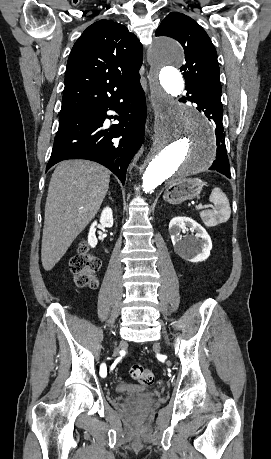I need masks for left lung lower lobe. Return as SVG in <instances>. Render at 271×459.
<instances>
[{
    "mask_svg": "<svg viewBox=\"0 0 271 459\" xmlns=\"http://www.w3.org/2000/svg\"><path fill=\"white\" fill-rule=\"evenodd\" d=\"M187 100L195 102L198 105V110L203 111L205 116L215 127L217 155L209 170H216L228 178H231L229 160L225 146V134L222 124V105L216 104L213 99V93L210 89H200L197 91L187 90Z\"/></svg>",
    "mask_w": 271,
    "mask_h": 459,
    "instance_id": "1",
    "label": "left lung lower lobe"
}]
</instances>
